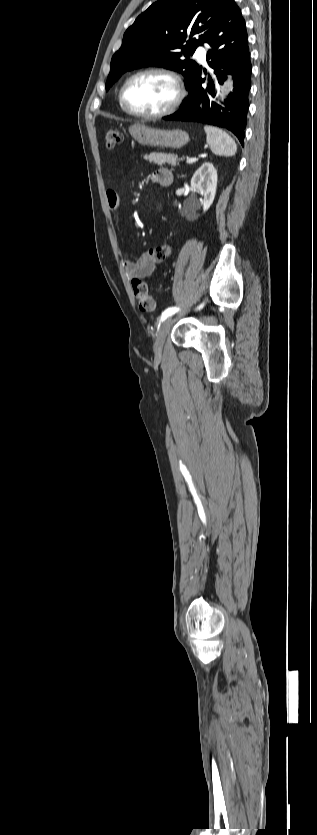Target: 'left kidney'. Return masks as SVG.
Instances as JSON below:
<instances>
[{
    "label": "left kidney",
    "mask_w": 317,
    "mask_h": 835,
    "mask_svg": "<svg viewBox=\"0 0 317 835\" xmlns=\"http://www.w3.org/2000/svg\"><path fill=\"white\" fill-rule=\"evenodd\" d=\"M217 180V171L210 162H204L191 179V188L198 190L203 196L201 205L204 212L210 208L214 201Z\"/></svg>",
    "instance_id": "obj_1"
}]
</instances>
